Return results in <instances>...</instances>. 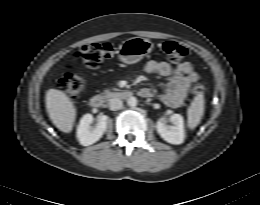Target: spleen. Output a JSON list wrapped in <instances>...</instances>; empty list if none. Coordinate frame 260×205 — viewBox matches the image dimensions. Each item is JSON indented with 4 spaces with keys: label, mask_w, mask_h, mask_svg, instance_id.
Segmentation results:
<instances>
[{
    "label": "spleen",
    "mask_w": 260,
    "mask_h": 205,
    "mask_svg": "<svg viewBox=\"0 0 260 205\" xmlns=\"http://www.w3.org/2000/svg\"><path fill=\"white\" fill-rule=\"evenodd\" d=\"M205 100L203 94L199 93L192 101L187 111L188 116V127L193 130L201 122L204 114Z\"/></svg>",
    "instance_id": "1"
}]
</instances>
